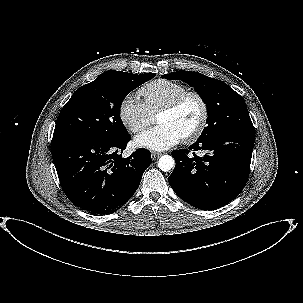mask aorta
<instances>
[{
	"mask_svg": "<svg viewBox=\"0 0 303 303\" xmlns=\"http://www.w3.org/2000/svg\"><path fill=\"white\" fill-rule=\"evenodd\" d=\"M174 158L170 155H163L158 161V167L160 170L167 172L174 167Z\"/></svg>",
	"mask_w": 303,
	"mask_h": 303,
	"instance_id": "762f6f07",
	"label": "aorta"
}]
</instances>
